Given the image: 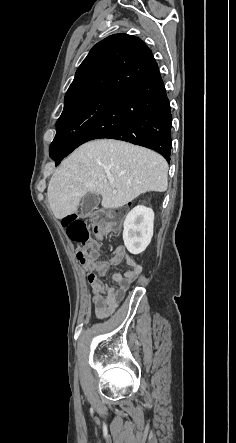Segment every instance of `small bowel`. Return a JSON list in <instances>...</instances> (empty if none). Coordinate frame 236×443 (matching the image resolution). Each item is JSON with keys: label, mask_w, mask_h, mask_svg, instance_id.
Returning a JSON list of instances; mask_svg holds the SVG:
<instances>
[{"label": "small bowel", "mask_w": 236, "mask_h": 443, "mask_svg": "<svg viewBox=\"0 0 236 443\" xmlns=\"http://www.w3.org/2000/svg\"><path fill=\"white\" fill-rule=\"evenodd\" d=\"M100 239L102 240V238ZM123 262L128 269L124 273H114L112 276L114 285L108 286L102 277L106 275L111 266H117ZM80 265L89 284L91 301L98 317L107 315L119 305L142 271L141 264L122 247L116 248L108 260L80 261Z\"/></svg>", "instance_id": "obj_1"}]
</instances>
